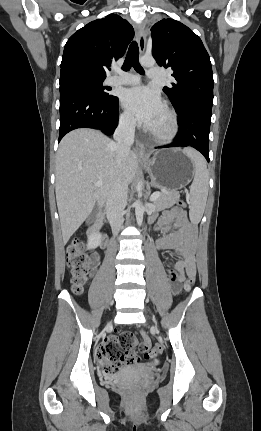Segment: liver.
Wrapping results in <instances>:
<instances>
[{"label": "liver", "mask_w": 261, "mask_h": 431, "mask_svg": "<svg viewBox=\"0 0 261 431\" xmlns=\"http://www.w3.org/2000/svg\"><path fill=\"white\" fill-rule=\"evenodd\" d=\"M138 158L129 151L119 164L114 142L88 128L68 133L60 142L55 166V192L63 243L66 244L97 204H102L115 184L129 185ZM102 182L101 187L94 183Z\"/></svg>", "instance_id": "liver-1"}]
</instances>
